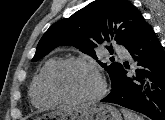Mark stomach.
<instances>
[{
	"instance_id": "obj_1",
	"label": "stomach",
	"mask_w": 165,
	"mask_h": 120,
	"mask_svg": "<svg viewBox=\"0 0 165 120\" xmlns=\"http://www.w3.org/2000/svg\"><path fill=\"white\" fill-rule=\"evenodd\" d=\"M60 118V120H122L119 111L108 104H82L73 109L59 110L36 119Z\"/></svg>"
}]
</instances>
